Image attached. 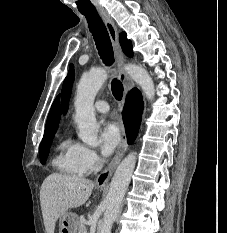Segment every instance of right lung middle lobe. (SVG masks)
Masks as SVG:
<instances>
[{"label":"right lung middle lobe","mask_w":227,"mask_h":233,"mask_svg":"<svg viewBox=\"0 0 227 233\" xmlns=\"http://www.w3.org/2000/svg\"><path fill=\"white\" fill-rule=\"evenodd\" d=\"M52 139L53 138H51L50 140H47V141H43L41 143V146H40V162L42 164L46 163V159H47L48 154H49V148L51 146Z\"/></svg>","instance_id":"obj_1"}]
</instances>
